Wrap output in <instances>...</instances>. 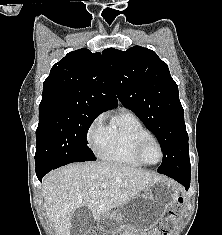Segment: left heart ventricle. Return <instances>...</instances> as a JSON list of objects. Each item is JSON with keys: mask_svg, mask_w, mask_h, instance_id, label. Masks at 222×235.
<instances>
[{"mask_svg": "<svg viewBox=\"0 0 222 235\" xmlns=\"http://www.w3.org/2000/svg\"><path fill=\"white\" fill-rule=\"evenodd\" d=\"M144 158L149 163H155L160 158V151L158 146L150 142L144 149Z\"/></svg>", "mask_w": 222, "mask_h": 235, "instance_id": "b2bd125f", "label": "left heart ventricle"}]
</instances>
